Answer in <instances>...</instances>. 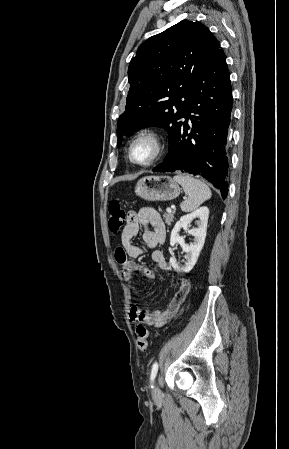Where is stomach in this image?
<instances>
[{
    "mask_svg": "<svg viewBox=\"0 0 289 449\" xmlns=\"http://www.w3.org/2000/svg\"><path fill=\"white\" fill-rule=\"evenodd\" d=\"M135 193L148 201H169L179 196L180 187L169 176H146L136 183Z\"/></svg>",
    "mask_w": 289,
    "mask_h": 449,
    "instance_id": "obj_1",
    "label": "stomach"
}]
</instances>
